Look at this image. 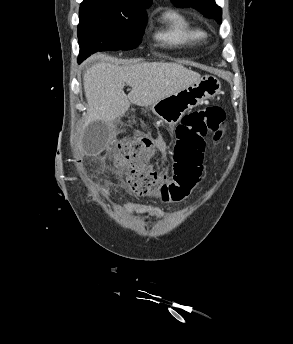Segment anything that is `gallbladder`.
<instances>
[{
	"label": "gallbladder",
	"instance_id": "obj_1",
	"mask_svg": "<svg viewBox=\"0 0 293 344\" xmlns=\"http://www.w3.org/2000/svg\"><path fill=\"white\" fill-rule=\"evenodd\" d=\"M110 136V128L103 121L91 122L82 137V145L86 153L95 154L100 152L106 145Z\"/></svg>",
	"mask_w": 293,
	"mask_h": 344
}]
</instances>
